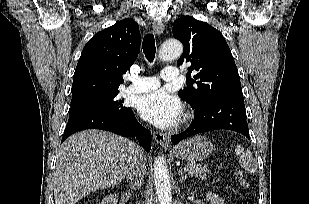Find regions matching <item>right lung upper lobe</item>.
I'll return each mask as SVG.
<instances>
[{"mask_svg": "<svg viewBox=\"0 0 309 204\" xmlns=\"http://www.w3.org/2000/svg\"><path fill=\"white\" fill-rule=\"evenodd\" d=\"M140 42L138 24L131 19L118 21L96 33L79 58L71 104L118 92L124 82L122 74L138 56Z\"/></svg>", "mask_w": 309, "mask_h": 204, "instance_id": "right-lung-upper-lobe-1", "label": "right lung upper lobe"}]
</instances>
